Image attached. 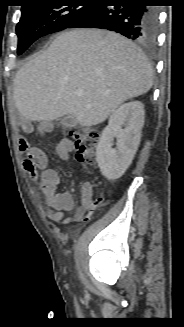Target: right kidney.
<instances>
[{"mask_svg":"<svg viewBox=\"0 0 184 327\" xmlns=\"http://www.w3.org/2000/svg\"><path fill=\"white\" fill-rule=\"evenodd\" d=\"M143 125L144 105L140 101L125 103L110 116L96 149L98 166L107 179L121 177L130 166L140 144ZM114 138L116 148L112 147Z\"/></svg>","mask_w":184,"mask_h":327,"instance_id":"obj_1","label":"right kidney"}]
</instances>
